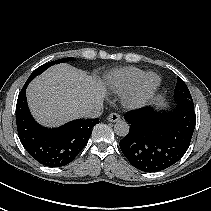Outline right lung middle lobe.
Returning <instances> with one entry per match:
<instances>
[{
  "instance_id": "right-lung-middle-lobe-1",
  "label": "right lung middle lobe",
  "mask_w": 211,
  "mask_h": 211,
  "mask_svg": "<svg viewBox=\"0 0 211 211\" xmlns=\"http://www.w3.org/2000/svg\"><path fill=\"white\" fill-rule=\"evenodd\" d=\"M73 60V57H68V58H63L59 59L53 62L46 63L40 67H38L28 78L27 82H31L33 78H35L37 75L41 74L44 72L46 69H48L50 66L58 64V63H64Z\"/></svg>"
}]
</instances>
